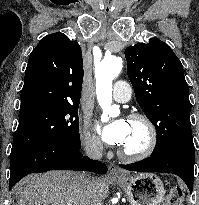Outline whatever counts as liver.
I'll use <instances>...</instances> for the list:
<instances>
[{"label":"liver","instance_id":"liver-1","mask_svg":"<svg viewBox=\"0 0 199 205\" xmlns=\"http://www.w3.org/2000/svg\"><path fill=\"white\" fill-rule=\"evenodd\" d=\"M26 182V187L20 194L19 205H91L92 202L91 194L85 187L83 174L50 171L30 175ZM95 188L101 200L107 198L108 179H95Z\"/></svg>","mask_w":199,"mask_h":205}]
</instances>
